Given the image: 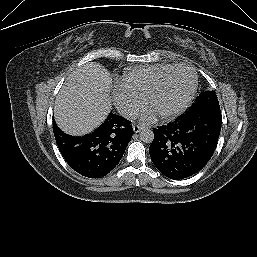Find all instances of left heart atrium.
<instances>
[{
    "mask_svg": "<svg viewBox=\"0 0 257 257\" xmlns=\"http://www.w3.org/2000/svg\"><path fill=\"white\" fill-rule=\"evenodd\" d=\"M142 118L144 121H147V122L152 121L154 119V111L149 110L145 112Z\"/></svg>",
    "mask_w": 257,
    "mask_h": 257,
    "instance_id": "obj_1",
    "label": "left heart atrium"
}]
</instances>
